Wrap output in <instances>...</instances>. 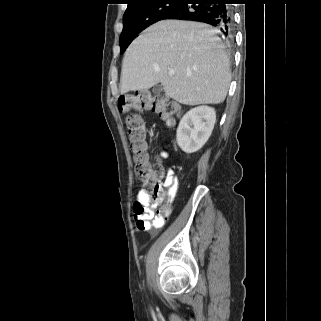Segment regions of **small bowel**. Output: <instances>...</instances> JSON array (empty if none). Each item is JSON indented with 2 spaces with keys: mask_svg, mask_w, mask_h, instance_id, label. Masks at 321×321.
I'll list each match as a JSON object with an SVG mask.
<instances>
[{
  "mask_svg": "<svg viewBox=\"0 0 321 321\" xmlns=\"http://www.w3.org/2000/svg\"><path fill=\"white\" fill-rule=\"evenodd\" d=\"M168 158V153L161 151L158 155V161H163ZM162 182V187L166 190V205L171 206L178 190V179L172 169L164 171L162 169L159 177V183ZM160 203V199L152 200L151 194L144 188L138 190L136 195V204L145 208L143 213H138L134 209L136 226L139 230L149 231L152 235H156L165 224V218L161 215H155L152 209L156 208Z\"/></svg>",
  "mask_w": 321,
  "mask_h": 321,
  "instance_id": "obj_1",
  "label": "small bowel"
}]
</instances>
